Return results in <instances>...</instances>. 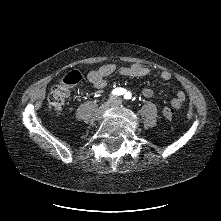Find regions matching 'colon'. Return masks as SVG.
<instances>
[{"instance_id": "colon-1", "label": "colon", "mask_w": 221, "mask_h": 221, "mask_svg": "<svg viewBox=\"0 0 221 221\" xmlns=\"http://www.w3.org/2000/svg\"><path fill=\"white\" fill-rule=\"evenodd\" d=\"M80 79V73L73 70L66 74L59 83L52 88L48 96V105L52 111L59 112L63 109L66 99L69 96L70 88L77 84ZM174 112L175 109L173 107L166 106L162 109V113L167 119H172Z\"/></svg>"}]
</instances>
